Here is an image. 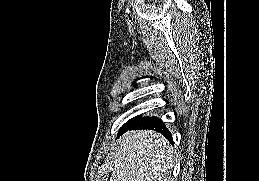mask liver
Here are the masks:
<instances>
[{
    "instance_id": "obj_1",
    "label": "liver",
    "mask_w": 259,
    "mask_h": 181,
    "mask_svg": "<svg viewBox=\"0 0 259 181\" xmlns=\"http://www.w3.org/2000/svg\"><path fill=\"white\" fill-rule=\"evenodd\" d=\"M110 181H171L173 148L161 134L131 131L119 138L112 152Z\"/></svg>"
}]
</instances>
